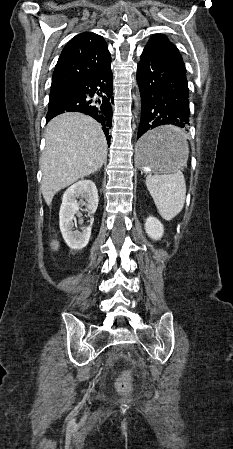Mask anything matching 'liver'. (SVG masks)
Masks as SVG:
<instances>
[{
	"label": "liver",
	"instance_id": "6515ba94",
	"mask_svg": "<svg viewBox=\"0 0 233 449\" xmlns=\"http://www.w3.org/2000/svg\"><path fill=\"white\" fill-rule=\"evenodd\" d=\"M45 138L40 158L41 192L50 206L58 191L101 168L107 157V142L100 124L82 113L53 118Z\"/></svg>",
	"mask_w": 233,
	"mask_h": 449
}]
</instances>
